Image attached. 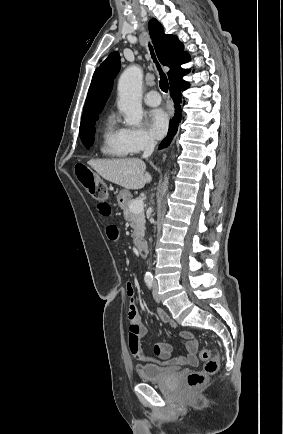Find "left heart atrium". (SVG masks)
<instances>
[{
	"label": "left heart atrium",
	"instance_id": "left-heart-atrium-1",
	"mask_svg": "<svg viewBox=\"0 0 283 434\" xmlns=\"http://www.w3.org/2000/svg\"><path fill=\"white\" fill-rule=\"evenodd\" d=\"M148 126L155 138H161L168 129V116L162 109H154L149 113Z\"/></svg>",
	"mask_w": 283,
	"mask_h": 434
}]
</instances>
